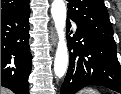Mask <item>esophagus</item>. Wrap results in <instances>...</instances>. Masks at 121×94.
Masks as SVG:
<instances>
[{"mask_svg":"<svg viewBox=\"0 0 121 94\" xmlns=\"http://www.w3.org/2000/svg\"><path fill=\"white\" fill-rule=\"evenodd\" d=\"M50 41H51L52 45H54V46L56 45L57 38H56V34H55L54 29H52L50 32Z\"/></svg>","mask_w":121,"mask_h":94,"instance_id":"obj_1","label":"esophagus"}]
</instances>
